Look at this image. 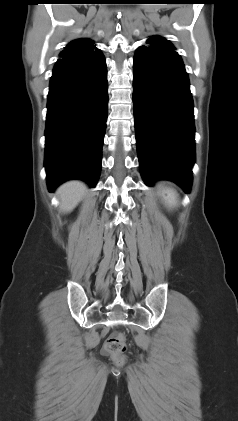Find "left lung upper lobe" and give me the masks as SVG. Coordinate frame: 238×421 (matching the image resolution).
I'll use <instances>...</instances> for the list:
<instances>
[{"label":"left lung upper lobe","instance_id":"1","mask_svg":"<svg viewBox=\"0 0 238 421\" xmlns=\"http://www.w3.org/2000/svg\"><path fill=\"white\" fill-rule=\"evenodd\" d=\"M147 43H149V45L147 47L152 48V49H173V45L166 39H164L163 37L160 36H153L151 37Z\"/></svg>","mask_w":238,"mask_h":421}]
</instances>
